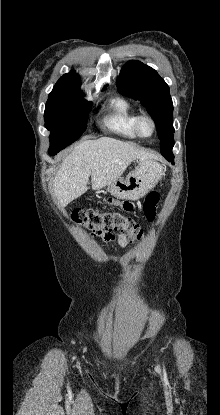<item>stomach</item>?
<instances>
[{"label": "stomach", "mask_w": 220, "mask_h": 415, "mask_svg": "<svg viewBox=\"0 0 220 415\" xmlns=\"http://www.w3.org/2000/svg\"><path fill=\"white\" fill-rule=\"evenodd\" d=\"M163 175L162 166L152 159L140 160L138 167L124 178L108 185L111 195L122 200H137L145 196Z\"/></svg>", "instance_id": "0dacf381"}]
</instances>
